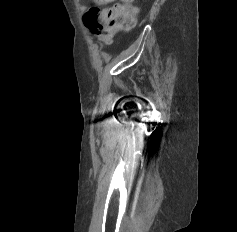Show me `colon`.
Wrapping results in <instances>:
<instances>
[{"label":"colon","instance_id":"1","mask_svg":"<svg viewBox=\"0 0 237 232\" xmlns=\"http://www.w3.org/2000/svg\"><path fill=\"white\" fill-rule=\"evenodd\" d=\"M112 1L95 0L96 6L88 9L84 14L85 25L105 45L111 44L117 33L131 30L137 21L134 0H121L110 7H99Z\"/></svg>","mask_w":237,"mask_h":232}]
</instances>
